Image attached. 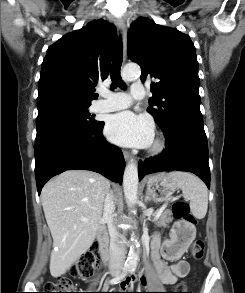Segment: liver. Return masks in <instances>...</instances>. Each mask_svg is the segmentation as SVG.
<instances>
[{"label":"liver","instance_id":"1","mask_svg":"<svg viewBox=\"0 0 245 293\" xmlns=\"http://www.w3.org/2000/svg\"><path fill=\"white\" fill-rule=\"evenodd\" d=\"M110 182L87 170H69L42 189L41 202L54 250L50 273L63 275L92 245L100 227Z\"/></svg>","mask_w":245,"mask_h":293}]
</instances>
